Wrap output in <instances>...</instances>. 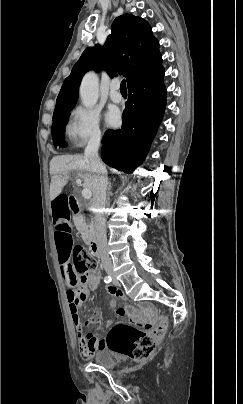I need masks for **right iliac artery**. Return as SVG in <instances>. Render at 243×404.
Returning <instances> with one entry per match:
<instances>
[{
    "label": "right iliac artery",
    "mask_w": 243,
    "mask_h": 404,
    "mask_svg": "<svg viewBox=\"0 0 243 404\" xmlns=\"http://www.w3.org/2000/svg\"><path fill=\"white\" fill-rule=\"evenodd\" d=\"M111 281H112V279H111L110 276H106V277L104 278V282H105V283H110Z\"/></svg>",
    "instance_id": "82829eb1"
}]
</instances>
